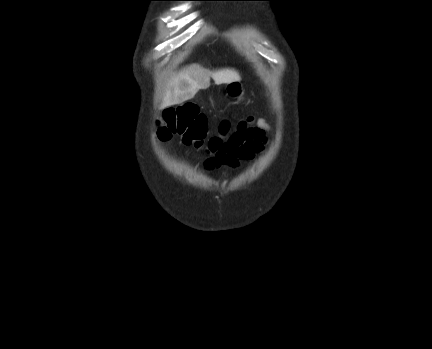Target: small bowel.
<instances>
[{"label":"small bowel","instance_id":"small-bowel-1","mask_svg":"<svg viewBox=\"0 0 432 349\" xmlns=\"http://www.w3.org/2000/svg\"><path fill=\"white\" fill-rule=\"evenodd\" d=\"M268 123L260 119L255 127L234 133L225 144L221 154L207 162L208 167L226 165L237 168L244 161L252 160L267 144Z\"/></svg>","mask_w":432,"mask_h":349}]
</instances>
